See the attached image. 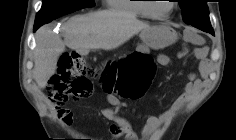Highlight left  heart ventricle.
I'll return each mask as SVG.
<instances>
[{"label":"left heart ventricle","mask_w":236,"mask_h":140,"mask_svg":"<svg viewBox=\"0 0 236 140\" xmlns=\"http://www.w3.org/2000/svg\"><path fill=\"white\" fill-rule=\"evenodd\" d=\"M170 3L167 1H155L153 4V9L158 14H165L170 9Z\"/></svg>","instance_id":"obj_1"}]
</instances>
